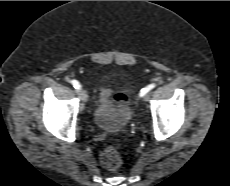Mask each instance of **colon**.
Instances as JSON below:
<instances>
[{
    "instance_id": "1",
    "label": "colon",
    "mask_w": 230,
    "mask_h": 186,
    "mask_svg": "<svg viewBox=\"0 0 230 186\" xmlns=\"http://www.w3.org/2000/svg\"><path fill=\"white\" fill-rule=\"evenodd\" d=\"M114 102L128 104V96L123 92L113 95ZM102 165L108 170H116L122 165V156L120 151L114 147H107L100 156Z\"/></svg>"
}]
</instances>
